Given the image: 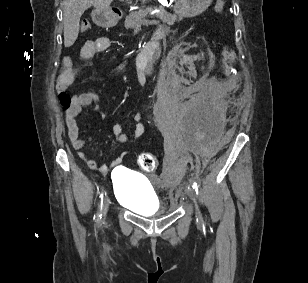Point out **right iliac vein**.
<instances>
[{
    "instance_id": "1",
    "label": "right iliac vein",
    "mask_w": 308,
    "mask_h": 283,
    "mask_svg": "<svg viewBox=\"0 0 308 283\" xmlns=\"http://www.w3.org/2000/svg\"><path fill=\"white\" fill-rule=\"evenodd\" d=\"M108 207H109V198L106 197V198L104 199V208H103V213H104V215L107 213Z\"/></svg>"
}]
</instances>
